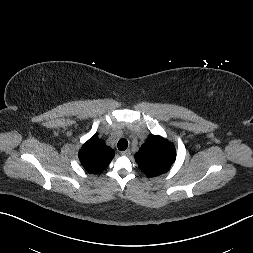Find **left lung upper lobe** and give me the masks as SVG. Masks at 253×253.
<instances>
[{
    "mask_svg": "<svg viewBox=\"0 0 253 253\" xmlns=\"http://www.w3.org/2000/svg\"><path fill=\"white\" fill-rule=\"evenodd\" d=\"M175 158L176 150L174 145L155 135H150L135 154V160L140 169L149 177L166 173Z\"/></svg>",
    "mask_w": 253,
    "mask_h": 253,
    "instance_id": "1",
    "label": "left lung upper lobe"
}]
</instances>
